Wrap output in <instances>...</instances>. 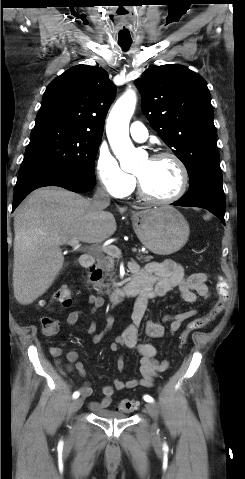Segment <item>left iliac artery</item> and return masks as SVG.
Here are the masks:
<instances>
[{
  "label": "left iliac artery",
  "instance_id": "1",
  "mask_svg": "<svg viewBox=\"0 0 245 479\" xmlns=\"http://www.w3.org/2000/svg\"><path fill=\"white\" fill-rule=\"evenodd\" d=\"M143 399H144L146 402H153V401H154V399H153L151 396H149V395H144Z\"/></svg>",
  "mask_w": 245,
  "mask_h": 479
}]
</instances>
